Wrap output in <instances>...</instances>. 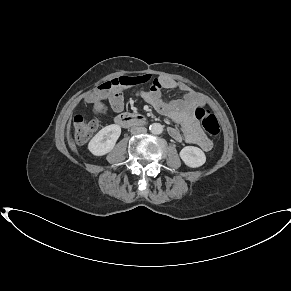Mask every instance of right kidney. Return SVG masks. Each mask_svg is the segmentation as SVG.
I'll return each mask as SVG.
<instances>
[{
    "label": "right kidney",
    "mask_w": 291,
    "mask_h": 291,
    "mask_svg": "<svg viewBox=\"0 0 291 291\" xmlns=\"http://www.w3.org/2000/svg\"><path fill=\"white\" fill-rule=\"evenodd\" d=\"M121 134V127L116 124L102 128L89 142L88 150L95 156L109 153Z\"/></svg>",
    "instance_id": "right-kidney-1"
}]
</instances>
